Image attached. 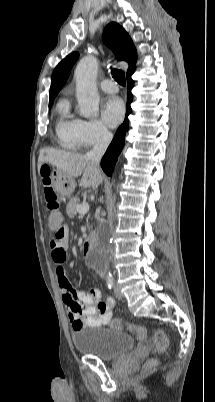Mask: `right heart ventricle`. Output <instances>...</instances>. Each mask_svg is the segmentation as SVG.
<instances>
[{
  "label": "right heart ventricle",
  "instance_id": "e07e8e85",
  "mask_svg": "<svg viewBox=\"0 0 215 402\" xmlns=\"http://www.w3.org/2000/svg\"><path fill=\"white\" fill-rule=\"evenodd\" d=\"M56 123L55 133L58 144L69 150H74L79 147L76 138V119L70 110V103L63 98L56 105Z\"/></svg>",
  "mask_w": 215,
  "mask_h": 402
}]
</instances>
